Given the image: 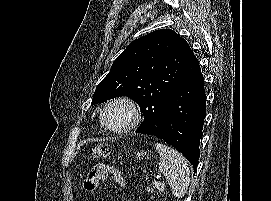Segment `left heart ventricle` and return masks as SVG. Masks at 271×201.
Masks as SVG:
<instances>
[{
  "label": "left heart ventricle",
  "mask_w": 271,
  "mask_h": 201,
  "mask_svg": "<svg viewBox=\"0 0 271 201\" xmlns=\"http://www.w3.org/2000/svg\"><path fill=\"white\" fill-rule=\"evenodd\" d=\"M132 120V113L125 104H115L106 112V121L113 128H121Z\"/></svg>",
  "instance_id": "1"
}]
</instances>
